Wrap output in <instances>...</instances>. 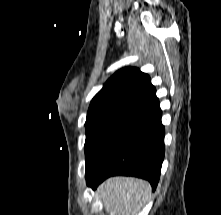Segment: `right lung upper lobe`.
<instances>
[{
    "mask_svg": "<svg viewBox=\"0 0 221 215\" xmlns=\"http://www.w3.org/2000/svg\"><path fill=\"white\" fill-rule=\"evenodd\" d=\"M157 100L149 76L135 67L117 71L92 99L91 104H121L140 109Z\"/></svg>",
    "mask_w": 221,
    "mask_h": 215,
    "instance_id": "right-lung-upper-lobe-1",
    "label": "right lung upper lobe"
}]
</instances>
